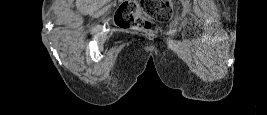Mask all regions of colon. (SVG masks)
Listing matches in <instances>:
<instances>
[{"mask_svg":"<svg viewBox=\"0 0 267 115\" xmlns=\"http://www.w3.org/2000/svg\"><path fill=\"white\" fill-rule=\"evenodd\" d=\"M139 5L148 13L153 21L140 15ZM171 0H140L126 1L122 3L116 12V23L123 27H135L148 33L158 30L157 23L168 22L172 18Z\"/></svg>","mask_w":267,"mask_h":115,"instance_id":"1","label":"colon"}]
</instances>
